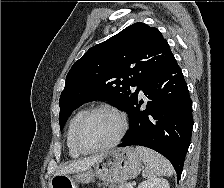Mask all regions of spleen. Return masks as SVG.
I'll list each match as a JSON object with an SVG mask.
<instances>
[{"label":"spleen","instance_id":"3e777b00","mask_svg":"<svg viewBox=\"0 0 224 188\" xmlns=\"http://www.w3.org/2000/svg\"><path fill=\"white\" fill-rule=\"evenodd\" d=\"M136 151L145 164L142 176L145 178H153L156 176H172L173 167L171 163L159 153L146 147L137 146Z\"/></svg>","mask_w":224,"mask_h":188}]
</instances>
